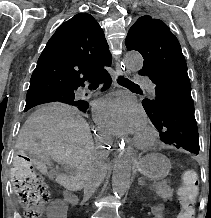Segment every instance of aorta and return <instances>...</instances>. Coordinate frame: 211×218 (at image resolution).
<instances>
[{
    "label": "aorta",
    "instance_id": "762f6f07",
    "mask_svg": "<svg viewBox=\"0 0 211 218\" xmlns=\"http://www.w3.org/2000/svg\"><path fill=\"white\" fill-rule=\"evenodd\" d=\"M125 64L130 70L139 71L143 67V58L137 52H128ZM132 163V147H126L118 154L113 167L112 190L116 196H123L130 187Z\"/></svg>",
    "mask_w": 211,
    "mask_h": 218
}]
</instances>
